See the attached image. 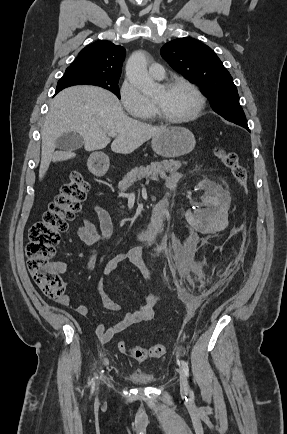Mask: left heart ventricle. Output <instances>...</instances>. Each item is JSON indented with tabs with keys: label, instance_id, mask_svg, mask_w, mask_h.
Wrapping results in <instances>:
<instances>
[{
	"label": "left heart ventricle",
	"instance_id": "1",
	"mask_svg": "<svg viewBox=\"0 0 287 434\" xmlns=\"http://www.w3.org/2000/svg\"><path fill=\"white\" fill-rule=\"evenodd\" d=\"M152 100L165 115L171 118H181L190 114L196 105V98L193 93L181 86L171 89L160 87L153 95Z\"/></svg>",
	"mask_w": 287,
	"mask_h": 434
}]
</instances>
